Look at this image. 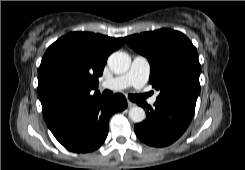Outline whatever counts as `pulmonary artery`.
Listing matches in <instances>:
<instances>
[{"instance_id": "pulmonary-artery-1", "label": "pulmonary artery", "mask_w": 245, "mask_h": 170, "mask_svg": "<svg viewBox=\"0 0 245 170\" xmlns=\"http://www.w3.org/2000/svg\"><path fill=\"white\" fill-rule=\"evenodd\" d=\"M150 74V64L146 57L138 55L133 59L129 71L121 76L104 81L102 87L109 90H119L128 86H134L140 89L146 83ZM153 105L156 102V97L149 100Z\"/></svg>"}]
</instances>
